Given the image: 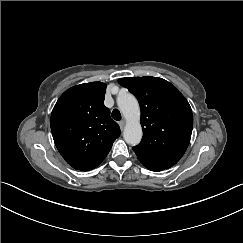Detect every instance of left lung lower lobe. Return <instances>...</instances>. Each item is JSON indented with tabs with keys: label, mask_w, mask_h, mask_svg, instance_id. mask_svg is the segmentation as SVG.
<instances>
[{
	"label": "left lung lower lobe",
	"mask_w": 243,
	"mask_h": 243,
	"mask_svg": "<svg viewBox=\"0 0 243 243\" xmlns=\"http://www.w3.org/2000/svg\"><path fill=\"white\" fill-rule=\"evenodd\" d=\"M145 167H147L149 170H152V171H159V170H156V169H154V168H152V167H150V166H146V165H144Z\"/></svg>",
	"instance_id": "left-lung-lower-lobe-1"
}]
</instances>
